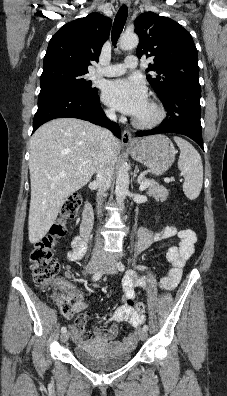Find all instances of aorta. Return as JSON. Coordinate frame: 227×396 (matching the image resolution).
Segmentation results:
<instances>
[{
    "instance_id": "obj_1",
    "label": "aorta",
    "mask_w": 227,
    "mask_h": 396,
    "mask_svg": "<svg viewBox=\"0 0 227 396\" xmlns=\"http://www.w3.org/2000/svg\"><path fill=\"white\" fill-rule=\"evenodd\" d=\"M139 38L135 33H124L120 39V48L130 50L137 47ZM129 188V173L126 165H122L117 173L115 195L118 203H123Z\"/></svg>"
}]
</instances>
